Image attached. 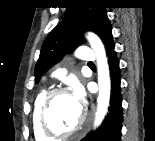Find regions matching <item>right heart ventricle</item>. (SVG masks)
I'll return each mask as SVG.
<instances>
[{"instance_id": "1", "label": "right heart ventricle", "mask_w": 155, "mask_h": 141, "mask_svg": "<svg viewBox=\"0 0 155 141\" xmlns=\"http://www.w3.org/2000/svg\"><path fill=\"white\" fill-rule=\"evenodd\" d=\"M45 91H40L35 99L34 107H33V113H32V128L34 132L35 139L37 141H47L50 139L48 136H46L39 127L38 122V114H39V107L41 104V101L45 95Z\"/></svg>"}]
</instances>
